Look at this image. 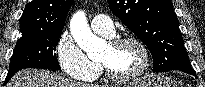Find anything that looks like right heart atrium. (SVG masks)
Here are the masks:
<instances>
[{
	"mask_svg": "<svg viewBox=\"0 0 205 87\" xmlns=\"http://www.w3.org/2000/svg\"><path fill=\"white\" fill-rule=\"evenodd\" d=\"M55 54L60 67L68 77L87 80L100 73L99 65L87 56L68 32L62 33L57 40Z\"/></svg>",
	"mask_w": 205,
	"mask_h": 87,
	"instance_id": "obj_1",
	"label": "right heart atrium"
}]
</instances>
